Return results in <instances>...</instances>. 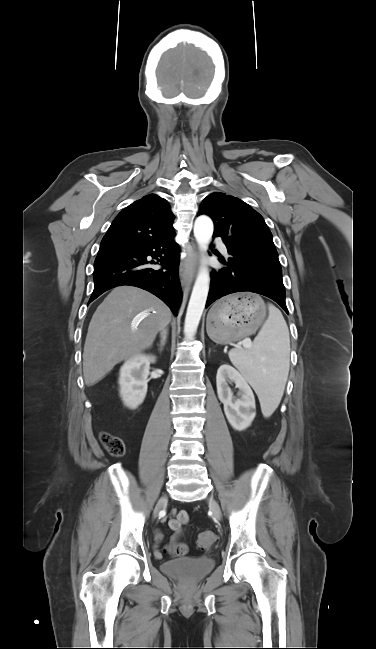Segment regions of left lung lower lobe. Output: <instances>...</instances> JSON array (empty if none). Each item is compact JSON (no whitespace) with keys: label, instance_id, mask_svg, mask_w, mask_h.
Instances as JSON below:
<instances>
[{"label":"left lung lower lobe","instance_id":"left-lung-lower-lobe-1","mask_svg":"<svg viewBox=\"0 0 376 649\" xmlns=\"http://www.w3.org/2000/svg\"><path fill=\"white\" fill-rule=\"evenodd\" d=\"M213 237H220L213 235ZM229 257L220 261L226 266L211 274L206 308L217 299L235 292L250 291L277 302L288 314L281 266L263 257L238 249L222 238Z\"/></svg>","mask_w":376,"mask_h":649}]
</instances>
